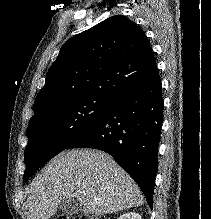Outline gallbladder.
<instances>
[{
  "label": "gallbladder",
  "instance_id": "1",
  "mask_svg": "<svg viewBox=\"0 0 211 219\" xmlns=\"http://www.w3.org/2000/svg\"><path fill=\"white\" fill-rule=\"evenodd\" d=\"M79 211V204L72 198L63 200L57 208V212H63L68 215L76 214Z\"/></svg>",
  "mask_w": 211,
  "mask_h": 219
}]
</instances>
